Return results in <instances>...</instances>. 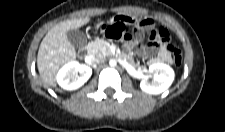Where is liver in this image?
I'll list each match as a JSON object with an SVG mask.
<instances>
[{"label": "liver", "mask_w": 225, "mask_h": 132, "mask_svg": "<svg viewBox=\"0 0 225 132\" xmlns=\"http://www.w3.org/2000/svg\"><path fill=\"white\" fill-rule=\"evenodd\" d=\"M89 21V17H83L60 22L43 38L38 50L37 68L46 85L56 87L59 68L76 58L75 47L69 42L66 33L86 25Z\"/></svg>", "instance_id": "1"}]
</instances>
